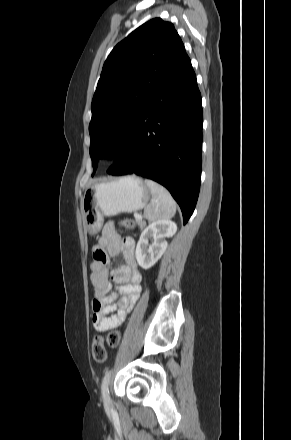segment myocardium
<instances>
[{"instance_id":"f54148a6","label":"myocardium","mask_w":291,"mask_h":440,"mask_svg":"<svg viewBox=\"0 0 291 440\" xmlns=\"http://www.w3.org/2000/svg\"><path fill=\"white\" fill-rule=\"evenodd\" d=\"M117 150V147L115 145H110L106 148V152L111 154Z\"/></svg>"}]
</instances>
